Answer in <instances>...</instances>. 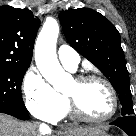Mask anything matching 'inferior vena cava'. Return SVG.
<instances>
[{"label":"inferior vena cava","instance_id":"inferior-vena-cava-1","mask_svg":"<svg viewBox=\"0 0 136 136\" xmlns=\"http://www.w3.org/2000/svg\"><path fill=\"white\" fill-rule=\"evenodd\" d=\"M39 129L47 130V129H49V127L46 124H40Z\"/></svg>","mask_w":136,"mask_h":136}]
</instances>
